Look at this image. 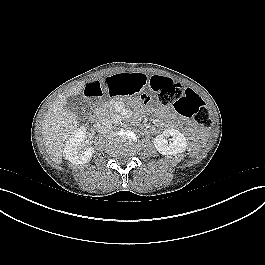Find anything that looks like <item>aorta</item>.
I'll return each instance as SVG.
<instances>
[{
    "mask_svg": "<svg viewBox=\"0 0 265 265\" xmlns=\"http://www.w3.org/2000/svg\"><path fill=\"white\" fill-rule=\"evenodd\" d=\"M123 116L121 114L118 113H114L111 117L110 120L112 122V124L114 125H121L123 123Z\"/></svg>",
    "mask_w": 265,
    "mask_h": 265,
    "instance_id": "obj_1",
    "label": "aorta"
}]
</instances>
